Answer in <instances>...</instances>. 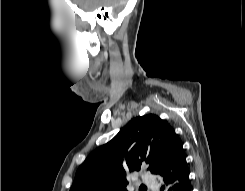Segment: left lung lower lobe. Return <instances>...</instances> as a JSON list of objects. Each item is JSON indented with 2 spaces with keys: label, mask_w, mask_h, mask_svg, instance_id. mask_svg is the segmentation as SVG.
<instances>
[{
  "label": "left lung lower lobe",
  "mask_w": 245,
  "mask_h": 191,
  "mask_svg": "<svg viewBox=\"0 0 245 191\" xmlns=\"http://www.w3.org/2000/svg\"><path fill=\"white\" fill-rule=\"evenodd\" d=\"M161 191H191L189 172L183 147L173 161L159 174Z\"/></svg>",
  "instance_id": "0a47b994"
}]
</instances>
